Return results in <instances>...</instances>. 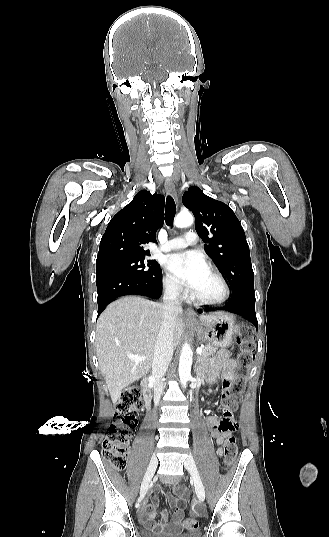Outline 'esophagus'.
<instances>
[{
  "instance_id": "1",
  "label": "esophagus",
  "mask_w": 329,
  "mask_h": 537,
  "mask_svg": "<svg viewBox=\"0 0 329 537\" xmlns=\"http://www.w3.org/2000/svg\"><path fill=\"white\" fill-rule=\"evenodd\" d=\"M165 189L167 191L168 194H170L171 196L175 197L177 196L176 194V189H175V185L172 181L171 178H166V181H165ZM185 314L189 315V316H193L194 315V311L193 310H187L185 312Z\"/></svg>"
}]
</instances>
